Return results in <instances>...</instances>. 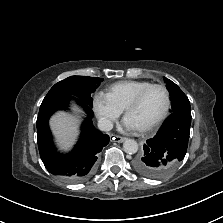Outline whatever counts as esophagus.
<instances>
[{
  "label": "esophagus",
  "instance_id": "obj_1",
  "mask_svg": "<svg viewBox=\"0 0 223 223\" xmlns=\"http://www.w3.org/2000/svg\"><path fill=\"white\" fill-rule=\"evenodd\" d=\"M112 140L115 141V142L121 143V142L125 141L126 138L125 137H122V136L116 135V136H113L112 137Z\"/></svg>",
  "mask_w": 223,
  "mask_h": 223
}]
</instances>
